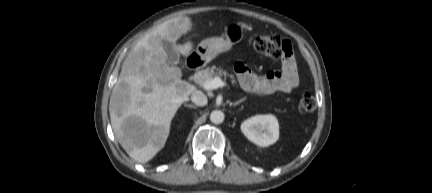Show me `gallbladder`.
<instances>
[{
  "mask_svg": "<svg viewBox=\"0 0 432 193\" xmlns=\"http://www.w3.org/2000/svg\"><path fill=\"white\" fill-rule=\"evenodd\" d=\"M162 45L163 48L165 50V52L167 53V63L169 65H176L179 63V59H180V55L178 52H176L174 50V44L167 41V40H162Z\"/></svg>",
  "mask_w": 432,
  "mask_h": 193,
  "instance_id": "gallbladder-1",
  "label": "gallbladder"
}]
</instances>
